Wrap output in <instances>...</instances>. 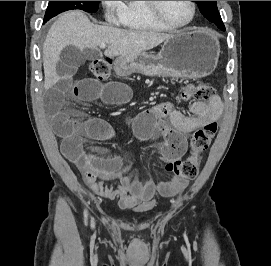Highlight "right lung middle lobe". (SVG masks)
I'll use <instances>...</instances> for the list:
<instances>
[{
    "instance_id": "1",
    "label": "right lung middle lobe",
    "mask_w": 271,
    "mask_h": 266,
    "mask_svg": "<svg viewBox=\"0 0 271 266\" xmlns=\"http://www.w3.org/2000/svg\"><path fill=\"white\" fill-rule=\"evenodd\" d=\"M98 7L99 1H49L44 16V22H47L57 14L67 10L81 9L86 12L95 13L98 10Z\"/></svg>"
}]
</instances>
